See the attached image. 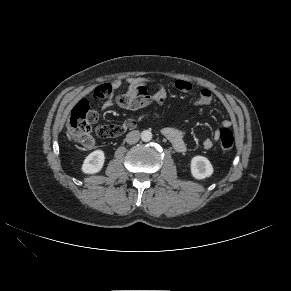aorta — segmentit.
<instances>
[{"mask_svg":"<svg viewBox=\"0 0 291 291\" xmlns=\"http://www.w3.org/2000/svg\"><path fill=\"white\" fill-rule=\"evenodd\" d=\"M141 139L144 142H149L152 139V132L150 130H144L141 133Z\"/></svg>","mask_w":291,"mask_h":291,"instance_id":"762f6f07","label":"aorta"}]
</instances>
